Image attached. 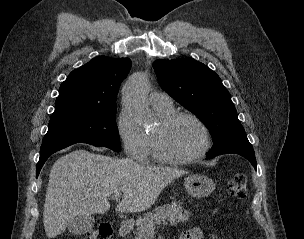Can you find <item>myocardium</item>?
<instances>
[{"label":"myocardium","mask_w":304,"mask_h":239,"mask_svg":"<svg viewBox=\"0 0 304 239\" xmlns=\"http://www.w3.org/2000/svg\"><path fill=\"white\" fill-rule=\"evenodd\" d=\"M181 118H188L194 121L202 131L203 145L200 150L185 158H173L165 155L160 148V137L169 127H171L177 120ZM211 147V134L208 126L194 113L188 111H174L168 116L164 117L159 126L152 134V150L154 158L163 164L168 165H187L195 163L202 159Z\"/></svg>","instance_id":"obj_1"}]
</instances>
